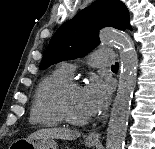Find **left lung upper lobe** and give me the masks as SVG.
<instances>
[{"label": "left lung upper lobe", "mask_w": 155, "mask_h": 149, "mask_svg": "<svg viewBox=\"0 0 155 149\" xmlns=\"http://www.w3.org/2000/svg\"><path fill=\"white\" fill-rule=\"evenodd\" d=\"M107 26L130 28L129 13L123 2L97 0L62 24L51 38L39 68L84 56L99 45V30Z\"/></svg>", "instance_id": "1"}]
</instances>
